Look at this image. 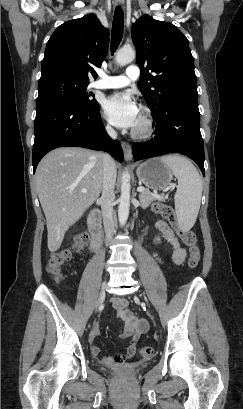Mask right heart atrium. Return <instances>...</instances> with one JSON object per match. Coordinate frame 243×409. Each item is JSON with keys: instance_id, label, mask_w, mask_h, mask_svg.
<instances>
[{"instance_id": "right-heart-atrium-1", "label": "right heart atrium", "mask_w": 243, "mask_h": 409, "mask_svg": "<svg viewBox=\"0 0 243 409\" xmlns=\"http://www.w3.org/2000/svg\"><path fill=\"white\" fill-rule=\"evenodd\" d=\"M108 130H111V128L109 126L106 127Z\"/></svg>"}]
</instances>
